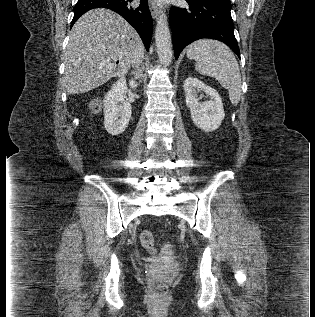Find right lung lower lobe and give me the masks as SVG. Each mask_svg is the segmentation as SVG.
Listing matches in <instances>:
<instances>
[{
  "label": "right lung lower lobe",
  "instance_id": "obj_1",
  "mask_svg": "<svg viewBox=\"0 0 315 317\" xmlns=\"http://www.w3.org/2000/svg\"><path fill=\"white\" fill-rule=\"evenodd\" d=\"M133 0H78L75 5L72 25L85 12L93 8H108L125 18L140 35L145 48L149 50L153 21L149 11L147 0H140L139 7L130 5Z\"/></svg>",
  "mask_w": 315,
  "mask_h": 317
}]
</instances>
